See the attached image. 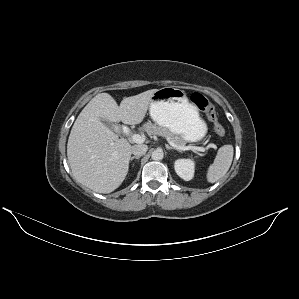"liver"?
Listing matches in <instances>:
<instances>
[{"label": "liver", "instance_id": "1", "mask_svg": "<svg viewBox=\"0 0 299 299\" xmlns=\"http://www.w3.org/2000/svg\"><path fill=\"white\" fill-rule=\"evenodd\" d=\"M157 89L124 98L118 106L108 93L97 94L75 120L67 143L68 163L76 180L99 193H110L124 181L132 146L101 119L128 125L143 121Z\"/></svg>", "mask_w": 299, "mask_h": 299}]
</instances>
